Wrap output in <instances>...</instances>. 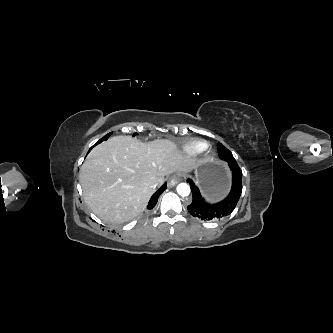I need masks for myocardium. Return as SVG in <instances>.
<instances>
[{
	"label": "myocardium",
	"instance_id": "myocardium-1",
	"mask_svg": "<svg viewBox=\"0 0 333 333\" xmlns=\"http://www.w3.org/2000/svg\"><path fill=\"white\" fill-rule=\"evenodd\" d=\"M205 154H206V156H210V154H211L210 150H206Z\"/></svg>",
	"mask_w": 333,
	"mask_h": 333
}]
</instances>
